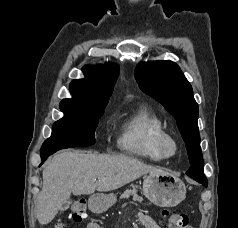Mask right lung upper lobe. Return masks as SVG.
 Masks as SVG:
<instances>
[{
	"label": "right lung upper lobe",
	"mask_w": 238,
	"mask_h": 228,
	"mask_svg": "<svg viewBox=\"0 0 238 228\" xmlns=\"http://www.w3.org/2000/svg\"><path fill=\"white\" fill-rule=\"evenodd\" d=\"M85 78L73 80L70 92L73 99H64L60 103L62 112H89L94 107L108 103L119 70L117 66L108 63L104 66H85Z\"/></svg>",
	"instance_id": "obj_1"
}]
</instances>
